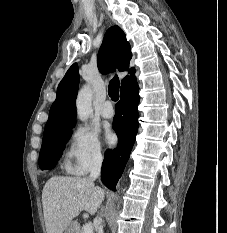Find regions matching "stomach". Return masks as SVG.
I'll return each mask as SVG.
<instances>
[{"instance_id": "0dacf381", "label": "stomach", "mask_w": 227, "mask_h": 233, "mask_svg": "<svg viewBox=\"0 0 227 233\" xmlns=\"http://www.w3.org/2000/svg\"><path fill=\"white\" fill-rule=\"evenodd\" d=\"M64 233H79V225L77 222L72 221L64 230Z\"/></svg>"}]
</instances>
